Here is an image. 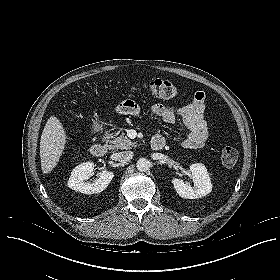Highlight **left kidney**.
<instances>
[{
	"mask_svg": "<svg viewBox=\"0 0 280 280\" xmlns=\"http://www.w3.org/2000/svg\"><path fill=\"white\" fill-rule=\"evenodd\" d=\"M194 186L185 183L182 179H172V184L179 196L185 199H196L206 196L212 191L211 179L208 171L202 163L190 166Z\"/></svg>",
	"mask_w": 280,
	"mask_h": 280,
	"instance_id": "left-kidney-1",
	"label": "left kidney"
}]
</instances>
